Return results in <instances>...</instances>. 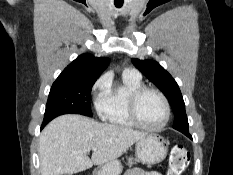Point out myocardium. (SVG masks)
Instances as JSON below:
<instances>
[{
	"label": "myocardium",
	"instance_id": "myocardium-1",
	"mask_svg": "<svg viewBox=\"0 0 233 175\" xmlns=\"http://www.w3.org/2000/svg\"><path fill=\"white\" fill-rule=\"evenodd\" d=\"M146 92H153V93L157 94L163 102L164 109H165V117H164V120L162 121V123L159 124L158 126H148V125L144 124L139 118L138 102H139V99L141 98V96ZM128 113H129L131 120L133 121V123L136 126L142 128L144 130H147V131L155 132V131L162 130L167 125V123L169 122V119H170L171 109H170L169 101L162 91H160L159 89L154 88V87L143 85V86H141V87H139L131 92L129 99H128Z\"/></svg>",
	"mask_w": 233,
	"mask_h": 175
}]
</instances>
